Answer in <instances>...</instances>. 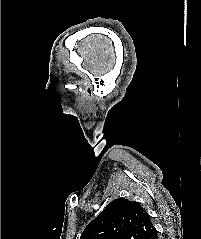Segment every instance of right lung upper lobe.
<instances>
[{
  "label": "right lung upper lobe",
  "instance_id": "1",
  "mask_svg": "<svg viewBox=\"0 0 201 239\" xmlns=\"http://www.w3.org/2000/svg\"><path fill=\"white\" fill-rule=\"evenodd\" d=\"M80 239H158L150 216L138 202L118 198L86 226Z\"/></svg>",
  "mask_w": 201,
  "mask_h": 239
}]
</instances>
